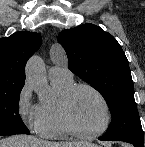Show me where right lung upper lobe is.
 I'll return each mask as SVG.
<instances>
[{"mask_svg":"<svg viewBox=\"0 0 145 147\" xmlns=\"http://www.w3.org/2000/svg\"><path fill=\"white\" fill-rule=\"evenodd\" d=\"M41 43V36L34 32H16L0 38V91L24 86L25 64Z\"/></svg>","mask_w":145,"mask_h":147,"instance_id":"obj_1","label":"right lung upper lobe"}]
</instances>
